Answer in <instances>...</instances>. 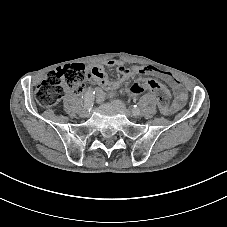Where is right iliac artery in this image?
I'll list each match as a JSON object with an SVG mask.
<instances>
[{
	"instance_id": "82829eb1",
	"label": "right iliac artery",
	"mask_w": 227,
	"mask_h": 227,
	"mask_svg": "<svg viewBox=\"0 0 227 227\" xmlns=\"http://www.w3.org/2000/svg\"><path fill=\"white\" fill-rule=\"evenodd\" d=\"M94 94L95 92L91 89L87 90L84 93V108L87 110H91L94 102Z\"/></svg>"
}]
</instances>
